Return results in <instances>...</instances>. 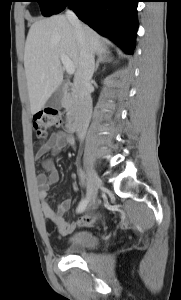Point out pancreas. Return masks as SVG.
Listing matches in <instances>:
<instances>
[{"label":"pancreas","instance_id":"cf45deb5","mask_svg":"<svg viewBox=\"0 0 181 300\" xmlns=\"http://www.w3.org/2000/svg\"><path fill=\"white\" fill-rule=\"evenodd\" d=\"M64 107L66 108V111H68L71 108V101L69 98H67L64 102Z\"/></svg>","mask_w":181,"mask_h":300}]
</instances>
